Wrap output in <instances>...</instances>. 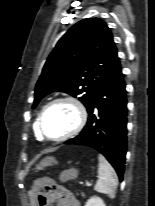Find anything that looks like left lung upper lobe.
Here are the masks:
<instances>
[{"instance_id": "1", "label": "left lung upper lobe", "mask_w": 155, "mask_h": 206, "mask_svg": "<svg viewBox=\"0 0 155 206\" xmlns=\"http://www.w3.org/2000/svg\"><path fill=\"white\" fill-rule=\"evenodd\" d=\"M120 64L110 29L98 18L73 25L49 55L35 87V107L45 95L60 91L89 107Z\"/></svg>"}]
</instances>
